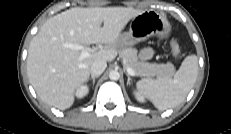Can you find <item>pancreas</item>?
I'll return each mask as SVG.
<instances>
[{"mask_svg":"<svg viewBox=\"0 0 231 134\" xmlns=\"http://www.w3.org/2000/svg\"><path fill=\"white\" fill-rule=\"evenodd\" d=\"M119 55L124 61V66L132 68L139 76L162 78L172 76L175 72V67L170 62L158 64L139 61L137 50L134 48L120 49Z\"/></svg>","mask_w":231,"mask_h":134,"instance_id":"cf45deb5","label":"pancreas"}]
</instances>
